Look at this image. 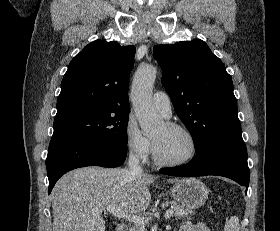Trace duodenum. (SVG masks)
I'll list each match as a JSON object with an SVG mask.
<instances>
[{
    "label": "duodenum",
    "mask_w": 280,
    "mask_h": 231,
    "mask_svg": "<svg viewBox=\"0 0 280 231\" xmlns=\"http://www.w3.org/2000/svg\"><path fill=\"white\" fill-rule=\"evenodd\" d=\"M115 231H128V229H127L126 226H124V225H118V226L115 228Z\"/></svg>",
    "instance_id": "1"
}]
</instances>
